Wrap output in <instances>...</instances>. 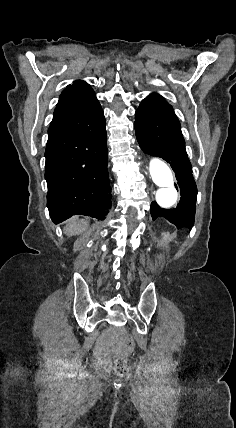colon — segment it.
I'll return each instance as SVG.
<instances>
[{
  "label": "colon",
  "mask_w": 236,
  "mask_h": 428,
  "mask_svg": "<svg viewBox=\"0 0 236 428\" xmlns=\"http://www.w3.org/2000/svg\"><path fill=\"white\" fill-rule=\"evenodd\" d=\"M135 349L134 339L126 335L123 338L121 350L116 356L114 369L119 376H125L128 373L127 359Z\"/></svg>",
  "instance_id": "5ec220e1"
}]
</instances>
